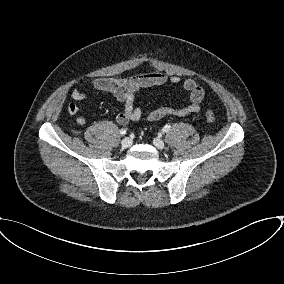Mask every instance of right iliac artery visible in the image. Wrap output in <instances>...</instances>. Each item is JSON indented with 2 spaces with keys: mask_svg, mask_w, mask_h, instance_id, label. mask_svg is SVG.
<instances>
[{
  "mask_svg": "<svg viewBox=\"0 0 284 284\" xmlns=\"http://www.w3.org/2000/svg\"><path fill=\"white\" fill-rule=\"evenodd\" d=\"M120 134H121V135H125V134H126V129H121V130H120Z\"/></svg>",
  "mask_w": 284,
  "mask_h": 284,
  "instance_id": "82829eb1",
  "label": "right iliac artery"
}]
</instances>
